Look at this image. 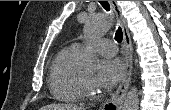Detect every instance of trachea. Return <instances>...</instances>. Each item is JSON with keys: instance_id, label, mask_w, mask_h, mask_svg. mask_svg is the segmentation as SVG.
<instances>
[{"instance_id": "3493384b", "label": "trachea", "mask_w": 171, "mask_h": 110, "mask_svg": "<svg viewBox=\"0 0 171 110\" xmlns=\"http://www.w3.org/2000/svg\"><path fill=\"white\" fill-rule=\"evenodd\" d=\"M100 4L103 6V8L107 11L110 10V6H109V3L108 1H99ZM123 39V32H122V29L121 27H118L116 33H115V40L120 43Z\"/></svg>"}]
</instances>
